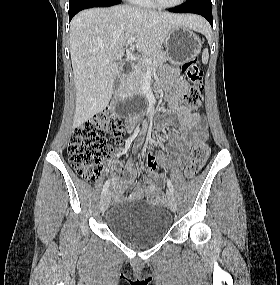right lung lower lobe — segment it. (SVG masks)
Listing matches in <instances>:
<instances>
[{
    "mask_svg": "<svg viewBox=\"0 0 280 285\" xmlns=\"http://www.w3.org/2000/svg\"><path fill=\"white\" fill-rule=\"evenodd\" d=\"M121 3V0H76L70 3L69 21L79 11L91 7H109Z\"/></svg>",
    "mask_w": 280,
    "mask_h": 285,
    "instance_id": "98d812e1",
    "label": "right lung lower lobe"
}]
</instances>
